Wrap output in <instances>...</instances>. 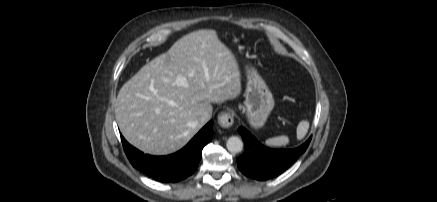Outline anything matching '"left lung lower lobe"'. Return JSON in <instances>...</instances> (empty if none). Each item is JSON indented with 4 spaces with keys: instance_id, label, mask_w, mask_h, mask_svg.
Listing matches in <instances>:
<instances>
[{
    "instance_id": "1",
    "label": "left lung lower lobe",
    "mask_w": 437,
    "mask_h": 202,
    "mask_svg": "<svg viewBox=\"0 0 437 202\" xmlns=\"http://www.w3.org/2000/svg\"><path fill=\"white\" fill-rule=\"evenodd\" d=\"M246 144L244 153L237 159L240 171L256 180H268L282 174L303 154L311 137L300 147L289 150H274L263 146L244 127L238 129Z\"/></svg>"
}]
</instances>
